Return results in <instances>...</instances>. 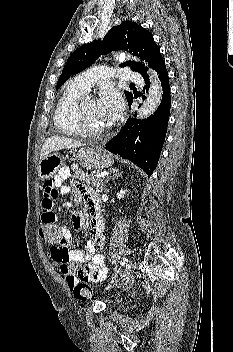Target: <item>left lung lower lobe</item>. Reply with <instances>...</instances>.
I'll return each mask as SVG.
<instances>
[{
  "mask_svg": "<svg viewBox=\"0 0 233 352\" xmlns=\"http://www.w3.org/2000/svg\"><path fill=\"white\" fill-rule=\"evenodd\" d=\"M156 72L163 89L157 110L143 120L128 119L123 129L105 145V149L134 162L149 176L152 175L160 157L171 107L169 77L164 61L157 67ZM144 80L145 92L149 89L150 81L148 76L144 77ZM132 101L133 98L128 102L129 106Z\"/></svg>",
  "mask_w": 233,
  "mask_h": 352,
  "instance_id": "left-lung-lower-lobe-1",
  "label": "left lung lower lobe"
}]
</instances>
